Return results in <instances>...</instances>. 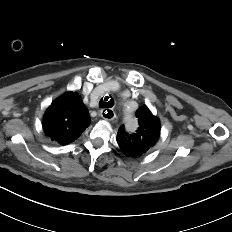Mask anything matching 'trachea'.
Masks as SVG:
<instances>
[{
    "instance_id": "3493384b",
    "label": "trachea",
    "mask_w": 232,
    "mask_h": 232,
    "mask_svg": "<svg viewBox=\"0 0 232 232\" xmlns=\"http://www.w3.org/2000/svg\"><path fill=\"white\" fill-rule=\"evenodd\" d=\"M114 104L113 98L111 96H105L104 98H101L99 101V107L101 108H111Z\"/></svg>"
}]
</instances>
